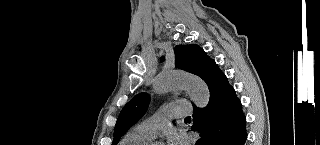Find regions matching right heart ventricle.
Returning <instances> with one entry per match:
<instances>
[{"instance_id":"obj_1","label":"right heart ventricle","mask_w":320,"mask_h":145,"mask_svg":"<svg viewBox=\"0 0 320 145\" xmlns=\"http://www.w3.org/2000/svg\"><path fill=\"white\" fill-rule=\"evenodd\" d=\"M150 138L137 132L135 129L128 132L120 142V145H148Z\"/></svg>"}]
</instances>
